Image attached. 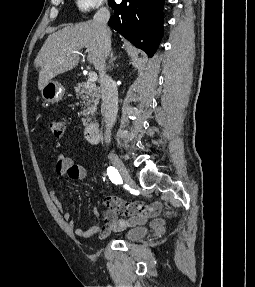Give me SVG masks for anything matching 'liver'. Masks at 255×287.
Instances as JSON below:
<instances>
[{
	"mask_svg": "<svg viewBox=\"0 0 255 287\" xmlns=\"http://www.w3.org/2000/svg\"><path fill=\"white\" fill-rule=\"evenodd\" d=\"M103 46L100 26L93 20L75 26L68 24L67 28L50 34L34 62L36 68H40L38 90H42L58 74H64L78 66L79 54L72 52H80L82 48H87L89 64H94L95 70H99Z\"/></svg>",
	"mask_w": 255,
	"mask_h": 287,
	"instance_id": "liver-1",
	"label": "liver"
}]
</instances>
